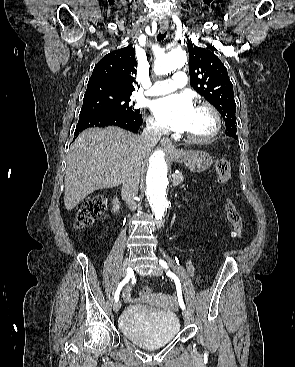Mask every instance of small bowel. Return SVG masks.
Returning <instances> with one entry per match:
<instances>
[{
    "mask_svg": "<svg viewBox=\"0 0 295 367\" xmlns=\"http://www.w3.org/2000/svg\"><path fill=\"white\" fill-rule=\"evenodd\" d=\"M186 267H187V269H188V271H189L190 273H193V266H192L191 261H187V263H186ZM126 296H128V294H126Z\"/></svg>",
    "mask_w": 295,
    "mask_h": 367,
    "instance_id": "obj_1",
    "label": "small bowel"
}]
</instances>
